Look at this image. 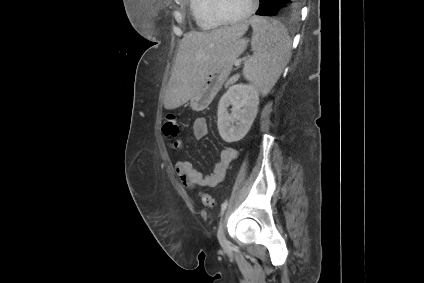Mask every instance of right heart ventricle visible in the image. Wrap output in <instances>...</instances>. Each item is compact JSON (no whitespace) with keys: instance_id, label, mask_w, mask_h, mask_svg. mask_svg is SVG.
Listing matches in <instances>:
<instances>
[{"instance_id":"1","label":"right heart ventricle","mask_w":424,"mask_h":283,"mask_svg":"<svg viewBox=\"0 0 424 283\" xmlns=\"http://www.w3.org/2000/svg\"><path fill=\"white\" fill-rule=\"evenodd\" d=\"M209 0H189L192 18L201 30H213L221 24L213 20L208 11Z\"/></svg>"}]
</instances>
